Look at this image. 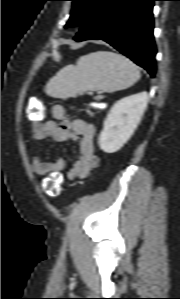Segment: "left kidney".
Segmentation results:
<instances>
[{
	"instance_id": "5707ae66",
	"label": "left kidney",
	"mask_w": 180,
	"mask_h": 299,
	"mask_svg": "<svg viewBox=\"0 0 180 299\" xmlns=\"http://www.w3.org/2000/svg\"><path fill=\"white\" fill-rule=\"evenodd\" d=\"M148 94L138 93L117 101L105 121L98 144L106 153L120 150L133 135L147 107Z\"/></svg>"
}]
</instances>
